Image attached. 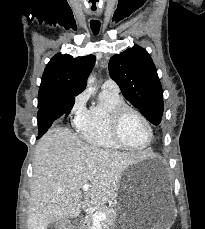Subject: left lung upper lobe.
Segmentation results:
<instances>
[{
    "mask_svg": "<svg viewBox=\"0 0 205 229\" xmlns=\"http://www.w3.org/2000/svg\"><path fill=\"white\" fill-rule=\"evenodd\" d=\"M109 74L124 97L154 125L163 115V93L155 65L147 51L139 46L114 55Z\"/></svg>",
    "mask_w": 205,
    "mask_h": 229,
    "instance_id": "1",
    "label": "left lung upper lobe"
}]
</instances>
